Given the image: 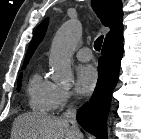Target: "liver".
<instances>
[{"mask_svg":"<svg viewBox=\"0 0 141 139\" xmlns=\"http://www.w3.org/2000/svg\"><path fill=\"white\" fill-rule=\"evenodd\" d=\"M77 137L63 117L37 112L18 115L11 131V139H78ZM81 137L83 139V135Z\"/></svg>","mask_w":141,"mask_h":139,"instance_id":"6515ba94","label":"liver"}]
</instances>
